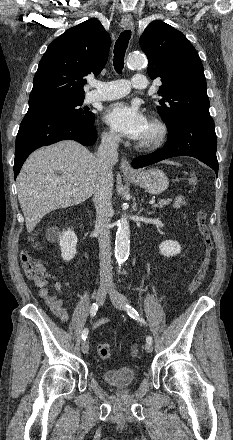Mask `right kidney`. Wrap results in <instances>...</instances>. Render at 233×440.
<instances>
[{"instance_id":"right-kidney-1","label":"right kidney","mask_w":233,"mask_h":440,"mask_svg":"<svg viewBox=\"0 0 233 440\" xmlns=\"http://www.w3.org/2000/svg\"><path fill=\"white\" fill-rule=\"evenodd\" d=\"M46 237L49 241L58 240L63 260L70 261L74 258L77 253V236L72 229L69 228L60 233L57 227H51L48 229Z\"/></svg>"}]
</instances>
